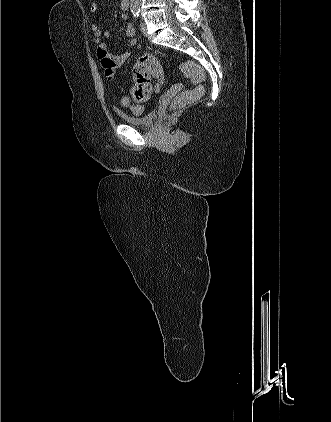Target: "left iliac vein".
Listing matches in <instances>:
<instances>
[{
	"instance_id": "obj_1",
	"label": "left iliac vein",
	"mask_w": 331,
	"mask_h": 422,
	"mask_svg": "<svg viewBox=\"0 0 331 422\" xmlns=\"http://www.w3.org/2000/svg\"><path fill=\"white\" fill-rule=\"evenodd\" d=\"M140 29H141V33L143 34V36L147 37V29H146V25H145L144 22H141Z\"/></svg>"
}]
</instances>
